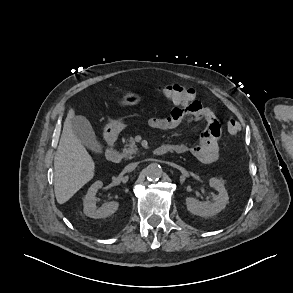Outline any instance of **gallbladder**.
<instances>
[{"label":"gallbladder","mask_w":293,"mask_h":293,"mask_svg":"<svg viewBox=\"0 0 293 293\" xmlns=\"http://www.w3.org/2000/svg\"><path fill=\"white\" fill-rule=\"evenodd\" d=\"M71 126L78 140L92 152L101 153L102 145L97 140L90 122L84 116H74Z\"/></svg>","instance_id":"obj_1"}]
</instances>
